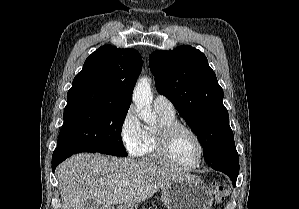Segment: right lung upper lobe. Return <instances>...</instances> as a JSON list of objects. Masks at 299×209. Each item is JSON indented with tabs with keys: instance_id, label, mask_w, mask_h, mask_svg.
<instances>
[{
	"instance_id": "obj_1",
	"label": "right lung upper lobe",
	"mask_w": 299,
	"mask_h": 209,
	"mask_svg": "<svg viewBox=\"0 0 299 209\" xmlns=\"http://www.w3.org/2000/svg\"><path fill=\"white\" fill-rule=\"evenodd\" d=\"M141 69L142 58L136 50L101 46L86 59L82 71L75 76L66 106L129 108Z\"/></svg>"
}]
</instances>
